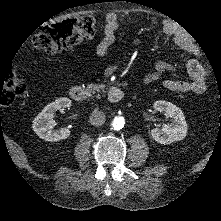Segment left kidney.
Masks as SVG:
<instances>
[{
  "label": "left kidney",
  "mask_w": 221,
  "mask_h": 221,
  "mask_svg": "<svg viewBox=\"0 0 221 221\" xmlns=\"http://www.w3.org/2000/svg\"><path fill=\"white\" fill-rule=\"evenodd\" d=\"M156 111L163 112L172 119L171 123L163 124L161 128L151 130L152 138L160 144H171L183 140L188 131V126L182 110L176 105L167 101H156L153 104Z\"/></svg>",
  "instance_id": "1"
}]
</instances>
